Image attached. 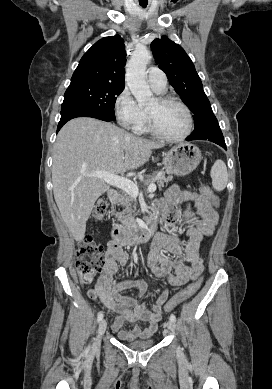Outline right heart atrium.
<instances>
[{"instance_id": "1", "label": "right heart atrium", "mask_w": 272, "mask_h": 389, "mask_svg": "<svg viewBox=\"0 0 272 389\" xmlns=\"http://www.w3.org/2000/svg\"><path fill=\"white\" fill-rule=\"evenodd\" d=\"M114 110L120 125L125 128L135 129L145 119L144 110L137 104L127 88H124L117 96Z\"/></svg>"}]
</instances>
